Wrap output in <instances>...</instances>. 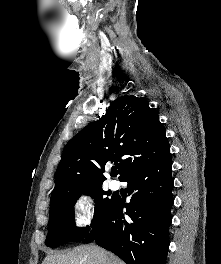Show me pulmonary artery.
<instances>
[{
    "label": "pulmonary artery",
    "instance_id": "e3ab8cb5",
    "mask_svg": "<svg viewBox=\"0 0 221 264\" xmlns=\"http://www.w3.org/2000/svg\"><path fill=\"white\" fill-rule=\"evenodd\" d=\"M119 186H120L119 181H117V180H115V179H113V180L110 181V187H111L112 189H114V190H115V189H118Z\"/></svg>",
    "mask_w": 221,
    "mask_h": 264
}]
</instances>
